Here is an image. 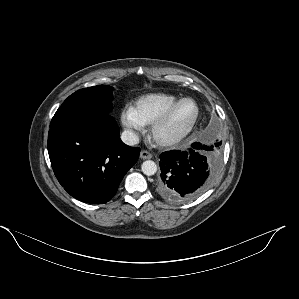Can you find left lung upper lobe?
I'll list each match as a JSON object with an SVG mask.
<instances>
[{"instance_id":"obj_1","label":"left lung upper lobe","mask_w":299,"mask_h":299,"mask_svg":"<svg viewBox=\"0 0 299 299\" xmlns=\"http://www.w3.org/2000/svg\"><path fill=\"white\" fill-rule=\"evenodd\" d=\"M222 142H217V145H221Z\"/></svg>"}]
</instances>
